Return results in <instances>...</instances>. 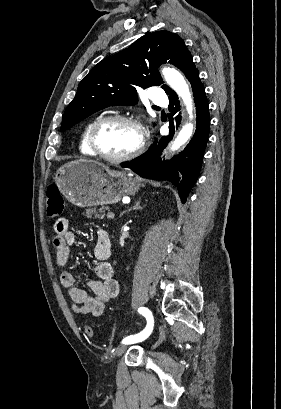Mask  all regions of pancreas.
I'll list each match as a JSON object with an SVG mask.
<instances>
[{
    "label": "pancreas",
    "mask_w": 281,
    "mask_h": 409,
    "mask_svg": "<svg viewBox=\"0 0 281 409\" xmlns=\"http://www.w3.org/2000/svg\"><path fill=\"white\" fill-rule=\"evenodd\" d=\"M105 211H108V207H102V209H86L85 217H87V219H104ZM100 213H103V215H100ZM92 215H94V217H92Z\"/></svg>",
    "instance_id": "cf45deb5"
}]
</instances>
